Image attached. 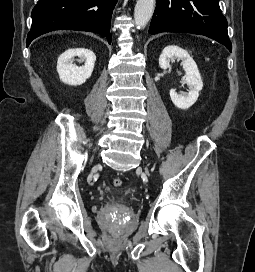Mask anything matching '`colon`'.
Listing matches in <instances>:
<instances>
[{
	"label": "colon",
	"mask_w": 255,
	"mask_h": 272,
	"mask_svg": "<svg viewBox=\"0 0 255 272\" xmlns=\"http://www.w3.org/2000/svg\"><path fill=\"white\" fill-rule=\"evenodd\" d=\"M113 185L115 186V187H120V186H122V184H123V181H122V179H120V178H115V179H113Z\"/></svg>",
	"instance_id": "obj_1"
}]
</instances>
